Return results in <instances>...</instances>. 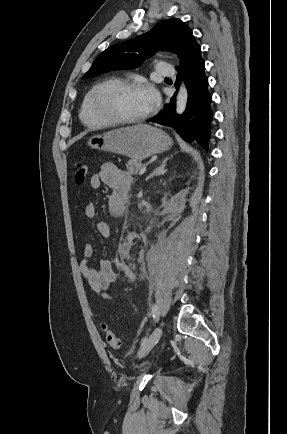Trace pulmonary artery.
Wrapping results in <instances>:
<instances>
[{
  "mask_svg": "<svg viewBox=\"0 0 287 434\" xmlns=\"http://www.w3.org/2000/svg\"><path fill=\"white\" fill-rule=\"evenodd\" d=\"M156 73L160 76L171 77L175 75V69L172 65L159 63L156 67Z\"/></svg>",
  "mask_w": 287,
  "mask_h": 434,
  "instance_id": "e3ab8cb5",
  "label": "pulmonary artery"
}]
</instances>
